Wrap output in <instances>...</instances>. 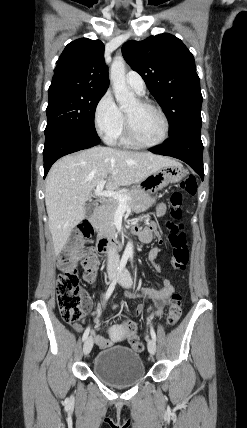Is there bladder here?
Wrapping results in <instances>:
<instances>
[{
    "label": "bladder",
    "instance_id": "obj_1",
    "mask_svg": "<svg viewBox=\"0 0 247 428\" xmlns=\"http://www.w3.org/2000/svg\"><path fill=\"white\" fill-rule=\"evenodd\" d=\"M93 373L109 385L126 386L137 383L145 376V366L136 350L113 346L96 354Z\"/></svg>",
    "mask_w": 247,
    "mask_h": 428
}]
</instances>
